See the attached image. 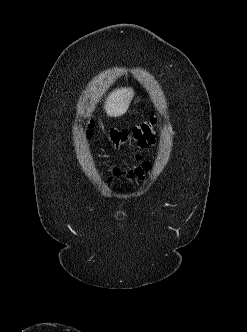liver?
Returning <instances> with one entry per match:
<instances>
[{
    "instance_id": "6515ba94",
    "label": "liver",
    "mask_w": 247,
    "mask_h": 332,
    "mask_svg": "<svg viewBox=\"0 0 247 332\" xmlns=\"http://www.w3.org/2000/svg\"><path fill=\"white\" fill-rule=\"evenodd\" d=\"M132 88H120L110 93L105 101L104 109L108 116L119 117L124 114L133 99Z\"/></svg>"
}]
</instances>
